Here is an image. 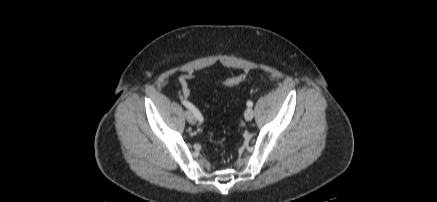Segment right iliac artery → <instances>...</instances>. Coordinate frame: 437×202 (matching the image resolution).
<instances>
[{
	"label": "right iliac artery",
	"mask_w": 437,
	"mask_h": 202,
	"mask_svg": "<svg viewBox=\"0 0 437 202\" xmlns=\"http://www.w3.org/2000/svg\"><path fill=\"white\" fill-rule=\"evenodd\" d=\"M181 102L186 108L190 109L194 113L199 122H203V116L196 107L186 100L181 99Z\"/></svg>",
	"instance_id": "1"
}]
</instances>
